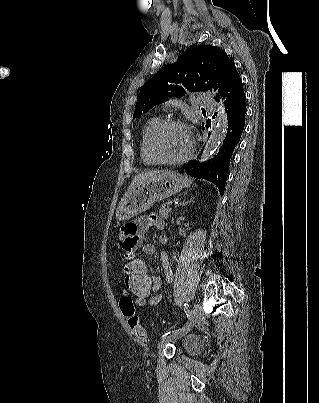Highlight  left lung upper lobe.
<instances>
[{"mask_svg": "<svg viewBox=\"0 0 319 403\" xmlns=\"http://www.w3.org/2000/svg\"><path fill=\"white\" fill-rule=\"evenodd\" d=\"M226 52L211 45L188 49L179 59L162 68L141 89L133 118L166 102L169 97H181L186 91L219 88L232 65Z\"/></svg>", "mask_w": 319, "mask_h": 403, "instance_id": "left-lung-upper-lobe-1", "label": "left lung upper lobe"}]
</instances>
